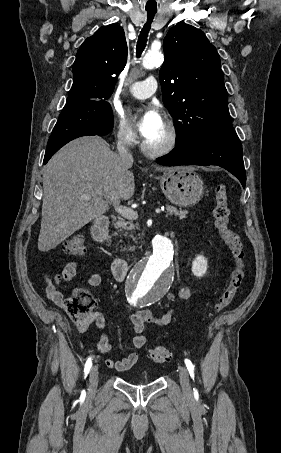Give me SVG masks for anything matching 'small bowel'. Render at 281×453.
<instances>
[{
    "label": "small bowel",
    "mask_w": 281,
    "mask_h": 453,
    "mask_svg": "<svg viewBox=\"0 0 281 453\" xmlns=\"http://www.w3.org/2000/svg\"><path fill=\"white\" fill-rule=\"evenodd\" d=\"M78 263L76 261L69 262L64 269L52 276L47 273L44 277V288L46 295L60 308L66 309L68 307V299L63 295L59 289V285L63 281H70L76 275ZM88 282L91 286H100L101 276L99 273L91 272L87 274ZM191 291L188 288H183L179 293V300L186 301L190 299ZM174 310L169 309L167 312L160 316H152L148 310H138L132 316V323L135 330V336L133 338V349H141L145 344V337L143 335V329L146 324L153 326H165L167 325L173 315ZM89 322L95 320L98 326H104V315L100 310H95L89 317ZM95 346L100 354L105 355L110 352L111 344L106 334H102L96 341ZM138 356L135 352H129L122 359H108L106 365L111 370H128L134 366L137 362Z\"/></svg>",
    "instance_id": "1"
}]
</instances>
